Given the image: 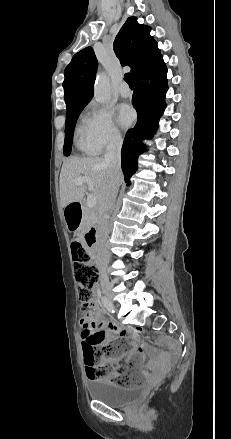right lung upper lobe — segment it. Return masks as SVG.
I'll use <instances>...</instances> for the list:
<instances>
[{
	"mask_svg": "<svg viewBox=\"0 0 231 439\" xmlns=\"http://www.w3.org/2000/svg\"><path fill=\"white\" fill-rule=\"evenodd\" d=\"M151 28L129 17L118 32L113 49L121 65L131 67L133 78L150 68L162 55L150 36ZM97 59L92 47L76 53L66 67L63 82L67 110L87 104L93 97Z\"/></svg>",
	"mask_w": 231,
	"mask_h": 439,
	"instance_id": "right-lung-upper-lobe-1",
	"label": "right lung upper lobe"
}]
</instances>
